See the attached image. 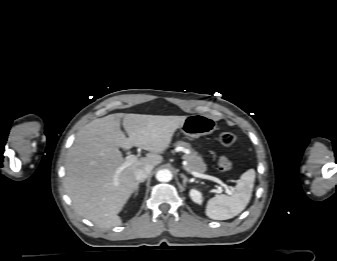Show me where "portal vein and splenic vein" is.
<instances>
[{"mask_svg":"<svg viewBox=\"0 0 337 261\" xmlns=\"http://www.w3.org/2000/svg\"><path fill=\"white\" fill-rule=\"evenodd\" d=\"M137 160H138V158L135 155L126 156L125 162L117 169L116 173L119 174L120 172H122L124 169H126L128 166H130L131 164H133ZM191 174L195 177L207 179V180H210V181H213V182H216L217 184H219L220 187L218 188L217 192H221L222 188H224L228 195H232V193H233V187L225 184L222 180H220L217 177L207 175V174H202V173L195 172V171H192Z\"/></svg>","mask_w":337,"mask_h":261,"instance_id":"portal-vein-and-splenic-vein-1","label":"portal vein and splenic vein"}]
</instances>
